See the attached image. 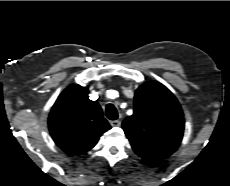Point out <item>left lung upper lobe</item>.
Segmentation results:
<instances>
[{"label": "left lung upper lobe", "instance_id": "1", "mask_svg": "<svg viewBox=\"0 0 230 186\" xmlns=\"http://www.w3.org/2000/svg\"><path fill=\"white\" fill-rule=\"evenodd\" d=\"M135 153L146 162L170 156L179 146L184 117L173 93L156 81L141 85L134 97V114L122 123Z\"/></svg>", "mask_w": 230, "mask_h": 186}]
</instances>
